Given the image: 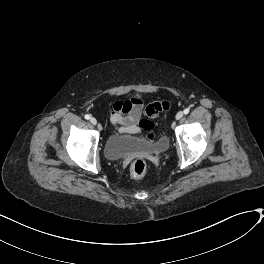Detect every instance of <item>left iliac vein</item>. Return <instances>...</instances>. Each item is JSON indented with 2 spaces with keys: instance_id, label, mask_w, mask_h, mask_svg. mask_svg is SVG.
I'll list each match as a JSON object with an SVG mask.
<instances>
[{
  "instance_id": "obj_1",
  "label": "left iliac vein",
  "mask_w": 264,
  "mask_h": 264,
  "mask_svg": "<svg viewBox=\"0 0 264 264\" xmlns=\"http://www.w3.org/2000/svg\"><path fill=\"white\" fill-rule=\"evenodd\" d=\"M183 117V112H178L177 114H176V119L177 120H179V119H181Z\"/></svg>"
}]
</instances>
